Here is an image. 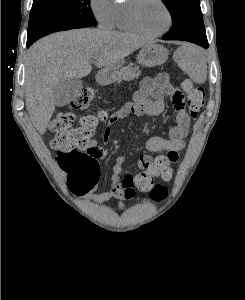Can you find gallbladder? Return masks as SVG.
Wrapping results in <instances>:
<instances>
[{"label": "gallbladder", "mask_w": 245, "mask_h": 300, "mask_svg": "<svg viewBox=\"0 0 245 300\" xmlns=\"http://www.w3.org/2000/svg\"><path fill=\"white\" fill-rule=\"evenodd\" d=\"M83 82L79 78L60 80L53 89L56 105L59 107L69 104L82 91Z\"/></svg>", "instance_id": "bac80fb5"}]
</instances>
